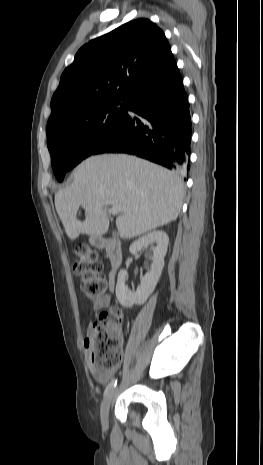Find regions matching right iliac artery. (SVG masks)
Listing matches in <instances>:
<instances>
[{"instance_id": "1", "label": "right iliac artery", "mask_w": 263, "mask_h": 465, "mask_svg": "<svg viewBox=\"0 0 263 465\" xmlns=\"http://www.w3.org/2000/svg\"><path fill=\"white\" fill-rule=\"evenodd\" d=\"M117 385V379H113L106 387L105 391H104V396L108 394V392L110 390H112L113 388H115Z\"/></svg>"}]
</instances>
